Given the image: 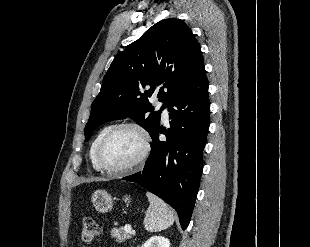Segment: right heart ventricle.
Instances as JSON below:
<instances>
[{
    "mask_svg": "<svg viewBox=\"0 0 310 247\" xmlns=\"http://www.w3.org/2000/svg\"><path fill=\"white\" fill-rule=\"evenodd\" d=\"M112 126H106L104 128H102L97 135L95 136L94 140L91 143L90 146V150H89V158L91 161L92 166L94 167L95 170H100L99 167L96 164L95 161V152H96V148L100 142V140L102 139V137L106 134V132L111 128Z\"/></svg>",
    "mask_w": 310,
    "mask_h": 247,
    "instance_id": "obj_1",
    "label": "right heart ventricle"
}]
</instances>
